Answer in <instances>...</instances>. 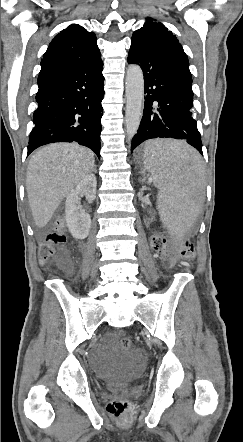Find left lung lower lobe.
Listing matches in <instances>:
<instances>
[{
	"instance_id": "0a47b994",
	"label": "left lung lower lobe",
	"mask_w": 243,
	"mask_h": 442,
	"mask_svg": "<svg viewBox=\"0 0 243 442\" xmlns=\"http://www.w3.org/2000/svg\"><path fill=\"white\" fill-rule=\"evenodd\" d=\"M128 63L144 75L143 117L131 151L148 139H183L202 155L201 135L192 114V76L188 59L132 41Z\"/></svg>"
}]
</instances>
